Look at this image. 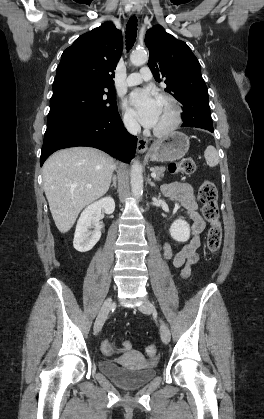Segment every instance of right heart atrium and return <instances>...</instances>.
Returning <instances> with one entry per match:
<instances>
[{
  "label": "right heart atrium",
  "instance_id": "right-heart-atrium-1",
  "mask_svg": "<svg viewBox=\"0 0 264 419\" xmlns=\"http://www.w3.org/2000/svg\"><path fill=\"white\" fill-rule=\"evenodd\" d=\"M122 121L127 130L134 132L138 129V123L135 117L125 107H123Z\"/></svg>",
  "mask_w": 264,
  "mask_h": 419
}]
</instances>
